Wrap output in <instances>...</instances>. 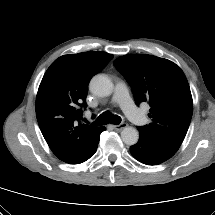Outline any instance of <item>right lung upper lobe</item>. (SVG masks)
<instances>
[{
    "instance_id": "cb5924a9",
    "label": "right lung upper lobe",
    "mask_w": 215,
    "mask_h": 215,
    "mask_svg": "<svg viewBox=\"0 0 215 215\" xmlns=\"http://www.w3.org/2000/svg\"><path fill=\"white\" fill-rule=\"evenodd\" d=\"M112 58L100 51L64 55L43 76L36 97L38 124L52 152L66 163L84 162L100 138L104 127L80 120L89 81Z\"/></svg>"
}]
</instances>
